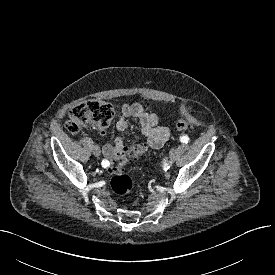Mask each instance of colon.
I'll return each mask as SVG.
<instances>
[{"mask_svg":"<svg viewBox=\"0 0 275 275\" xmlns=\"http://www.w3.org/2000/svg\"><path fill=\"white\" fill-rule=\"evenodd\" d=\"M181 117L176 123L179 130L187 129L192 121V110L187 106L180 109ZM114 116L113 106L106 101L90 99L75 105L68 113L65 123L67 131L77 134L87 123H93L101 130L109 126ZM145 152V147L136 144L132 147L130 155L140 156ZM128 162L127 156L119 157L111 162L109 171L112 174L110 187L115 196L121 197L128 194L133 188L132 179L124 173V168Z\"/></svg>","mask_w":275,"mask_h":275,"instance_id":"obj_1","label":"colon"}]
</instances>
